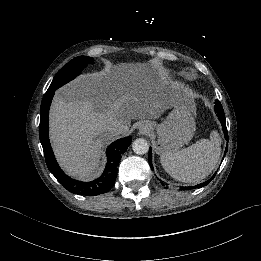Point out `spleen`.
Here are the masks:
<instances>
[{
    "label": "spleen",
    "mask_w": 261,
    "mask_h": 261,
    "mask_svg": "<svg viewBox=\"0 0 261 261\" xmlns=\"http://www.w3.org/2000/svg\"><path fill=\"white\" fill-rule=\"evenodd\" d=\"M219 141L218 134L213 132L210 139L200 138L178 152L161 155L160 162L175 180L198 183L211 173L218 162Z\"/></svg>",
    "instance_id": "obj_1"
}]
</instances>
